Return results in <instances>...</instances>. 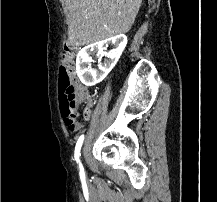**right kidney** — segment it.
<instances>
[{
    "label": "right kidney",
    "instance_id": "right-kidney-1",
    "mask_svg": "<svg viewBox=\"0 0 217 202\" xmlns=\"http://www.w3.org/2000/svg\"><path fill=\"white\" fill-rule=\"evenodd\" d=\"M108 44L113 46V50H110V54H107V58L104 60L103 64H98V72H92V70H89L88 66L90 62H92L93 54L101 56L103 50H105L104 46H108ZM126 44V36L120 34V36L107 38V40L90 44V46H85L83 50H80L76 58V72L82 84H85V86H93V84H99L101 80H104L107 74L116 66L124 48H126Z\"/></svg>",
    "mask_w": 217,
    "mask_h": 202
}]
</instances>
